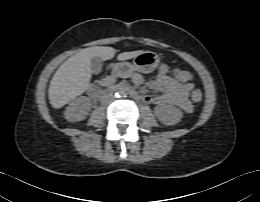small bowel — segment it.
<instances>
[{"instance_id":"small-bowel-1","label":"small bowel","mask_w":260,"mask_h":202,"mask_svg":"<svg viewBox=\"0 0 260 202\" xmlns=\"http://www.w3.org/2000/svg\"><path fill=\"white\" fill-rule=\"evenodd\" d=\"M117 76L112 75L104 79V82L111 83ZM130 79L137 85L143 83V77L136 72L130 74ZM148 87L160 93V95H144L143 100L152 104L168 103L178 106L185 113H191L193 110L191 102L188 100V93L193 88L191 83L182 84L176 82L169 76V67L162 64L158 70L156 79L148 83Z\"/></svg>"}]
</instances>
